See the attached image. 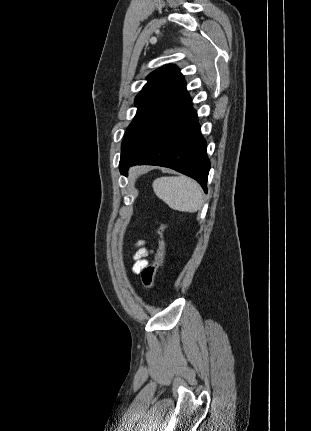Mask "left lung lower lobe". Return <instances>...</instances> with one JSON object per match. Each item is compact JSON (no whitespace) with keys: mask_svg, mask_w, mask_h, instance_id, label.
<instances>
[{"mask_svg":"<svg viewBox=\"0 0 311 431\" xmlns=\"http://www.w3.org/2000/svg\"><path fill=\"white\" fill-rule=\"evenodd\" d=\"M136 164L172 168L195 179L207 193L210 161L206 141L185 87L148 121L130 147L121 153L122 174Z\"/></svg>","mask_w":311,"mask_h":431,"instance_id":"obj_1","label":"left lung lower lobe"}]
</instances>
